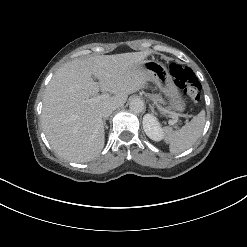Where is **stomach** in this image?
I'll return each instance as SVG.
<instances>
[{"instance_id":"stomach-1","label":"stomach","mask_w":247,"mask_h":247,"mask_svg":"<svg viewBox=\"0 0 247 247\" xmlns=\"http://www.w3.org/2000/svg\"><path fill=\"white\" fill-rule=\"evenodd\" d=\"M130 73L135 78H147L154 82L169 98L170 110L176 112L185 110V100L169 71L161 63L149 59L135 61L130 66Z\"/></svg>"}]
</instances>
